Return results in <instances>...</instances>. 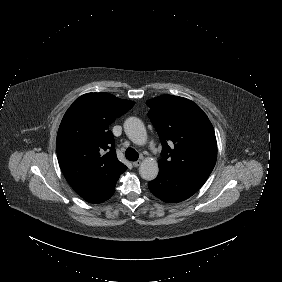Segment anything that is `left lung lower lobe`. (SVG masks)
I'll return each mask as SVG.
<instances>
[{
	"label": "left lung lower lobe",
	"instance_id": "left-lung-lower-lobe-1",
	"mask_svg": "<svg viewBox=\"0 0 282 282\" xmlns=\"http://www.w3.org/2000/svg\"><path fill=\"white\" fill-rule=\"evenodd\" d=\"M209 174L198 172L171 173L160 171L148 183L152 194L167 203H178L195 194L206 182Z\"/></svg>",
	"mask_w": 282,
	"mask_h": 282
}]
</instances>
